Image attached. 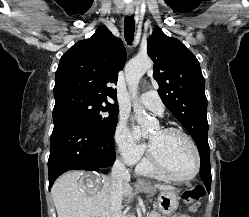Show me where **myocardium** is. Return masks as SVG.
Listing matches in <instances>:
<instances>
[{"label": "myocardium", "mask_w": 249, "mask_h": 217, "mask_svg": "<svg viewBox=\"0 0 249 217\" xmlns=\"http://www.w3.org/2000/svg\"><path fill=\"white\" fill-rule=\"evenodd\" d=\"M161 131L166 134L181 135L188 141L195 155V167H194L193 172L187 176H184V177L175 176L164 167V165L160 162V160L156 156L152 146L150 145L148 148V152H147V162L152 168V170L157 175L167 180L176 181V182H186V181H190L193 178H195V176L198 174L200 167H201V156H200L198 146L193 140V138L184 130L176 128V127H164L161 129Z\"/></svg>", "instance_id": "f54148a6"}]
</instances>
